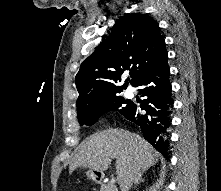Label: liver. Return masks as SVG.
<instances>
[{"label": "liver", "mask_w": 221, "mask_h": 191, "mask_svg": "<svg viewBox=\"0 0 221 191\" xmlns=\"http://www.w3.org/2000/svg\"><path fill=\"white\" fill-rule=\"evenodd\" d=\"M158 153L142 137L124 129H108L88 137L71 159L69 172L83 167L104 172L113 158L119 185L132 171H146L157 162Z\"/></svg>", "instance_id": "1"}]
</instances>
